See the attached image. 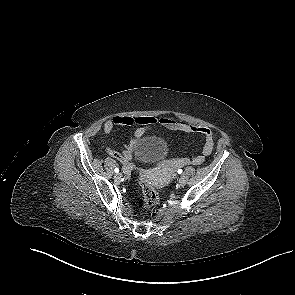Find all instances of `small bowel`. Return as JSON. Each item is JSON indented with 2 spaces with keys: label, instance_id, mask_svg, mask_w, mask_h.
<instances>
[{
  "label": "small bowel",
  "instance_id": "small-bowel-1",
  "mask_svg": "<svg viewBox=\"0 0 295 295\" xmlns=\"http://www.w3.org/2000/svg\"><path fill=\"white\" fill-rule=\"evenodd\" d=\"M156 124H160L168 130L183 132L188 135L200 134L203 137L204 143L202 153L194 157L176 159L174 164L177 166L200 165L204 162L205 157L210 155L213 151L215 138L209 128L180 122L171 117L158 118L153 116H115L108 119L103 124V133L105 136L109 135L117 126H136V129L133 133V138L126 145L124 150L117 151L110 147H105V151L109 156L122 163L128 170L135 149L136 140L140 139L147 130L151 129Z\"/></svg>",
  "mask_w": 295,
  "mask_h": 295
}]
</instances>
